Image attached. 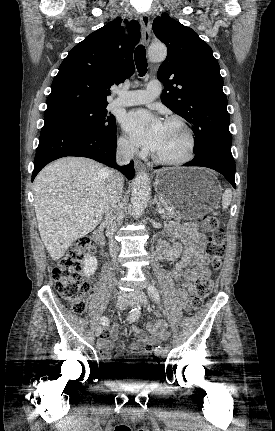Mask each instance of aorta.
<instances>
[{
    "instance_id": "1",
    "label": "aorta",
    "mask_w": 275,
    "mask_h": 431,
    "mask_svg": "<svg viewBox=\"0 0 275 431\" xmlns=\"http://www.w3.org/2000/svg\"><path fill=\"white\" fill-rule=\"evenodd\" d=\"M149 59L152 62H162L167 56V49L164 45H153L148 51ZM150 195V179L146 172L139 173L133 182L132 187V214L139 217L145 210Z\"/></svg>"
}]
</instances>
